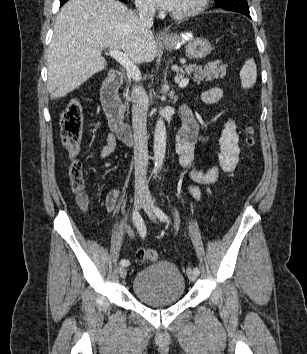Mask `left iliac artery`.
<instances>
[{
	"mask_svg": "<svg viewBox=\"0 0 307 354\" xmlns=\"http://www.w3.org/2000/svg\"><path fill=\"white\" fill-rule=\"evenodd\" d=\"M154 211H155L156 216H157L161 221H163V222H169L168 216H167L159 207H155ZM193 272L198 275V274L200 273V270H199L197 267H195V268L193 269Z\"/></svg>",
	"mask_w": 307,
	"mask_h": 354,
	"instance_id": "1",
	"label": "left iliac artery"
}]
</instances>
